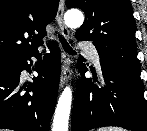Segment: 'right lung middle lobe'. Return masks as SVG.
<instances>
[{
	"mask_svg": "<svg viewBox=\"0 0 147 131\" xmlns=\"http://www.w3.org/2000/svg\"><path fill=\"white\" fill-rule=\"evenodd\" d=\"M14 62V60H0V67L10 65Z\"/></svg>",
	"mask_w": 147,
	"mask_h": 131,
	"instance_id": "obj_1",
	"label": "right lung middle lobe"
}]
</instances>
